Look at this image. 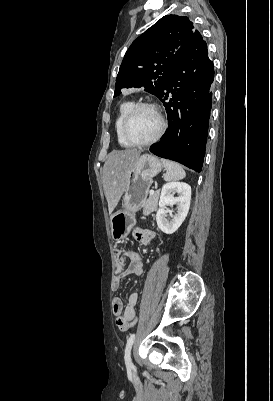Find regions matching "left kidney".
I'll return each mask as SVG.
<instances>
[{
    "mask_svg": "<svg viewBox=\"0 0 273 401\" xmlns=\"http://www.w3.org/2000/svg\"><path fill=\"white\" fill-rule=\"evenodd\" d=\"M175 192H179V196H174ZM191 201V186L187 182H166L163 184L159 207L156 215V221L159 229L166 233V235H172L183 221H185ZM166 205H176V215H173L171 221H167L166 215L169 211H166Z\"/></svg>",
    "mask_w": 273,
    "mask_h": 401,
    "instance_id": "1",
    "label": "left kidney"
}]
</instances>
